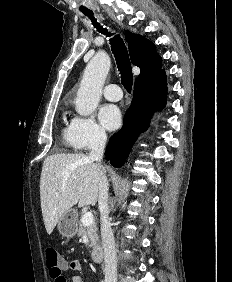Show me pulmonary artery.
<instances>
[{
  "label": "pulmonary artery",
  "instance_id": "pulmonary-artery-1",
  "mask_svg": "<svg viewBox=\"0 0 232 282\" xmlns=\"http://www.w3.org/2000/svg\"><path fill=\"white\" fill-rule=\"evenodd\" d=\"M103 95L110 101H118L122 98V91L117 84H108L103 89Z\"/></svg>",
  "mask_w": 232,
  "mask_h": 282
}]
</instances>
